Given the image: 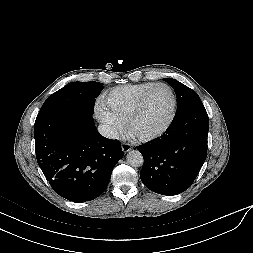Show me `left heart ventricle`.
<instances>
[{
	"label": "left heart ventricle",
	"instance_id": "obj_1",
	"mask_svg": "<svg viewBox=\"0 0 253 253\" xmlns=\"http://www.w3.org/2000/svg\"><path fill=\"white\" fill-rule=\"evenodd\" d=\"M172 96L166 87L153 89L146 98L140 115L133 124L136 133H150L161 129L172 113Z\"/></svg>",
	"mask_w": 253,
	"mask_h": 253
}]
</instances>
